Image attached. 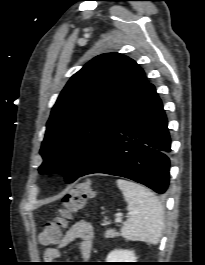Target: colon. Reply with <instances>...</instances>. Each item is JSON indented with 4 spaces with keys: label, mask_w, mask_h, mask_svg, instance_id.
Listing matches in <instances>:
<instances>
[{
    "label": "colon",
    "mask_w": 205,
    "mask_h": 265,
    "mask_svg": "<svg viewBox=\"0 0 205 265\" xmlns=\"http://www.w3.org/2000/svg\"><path fill=\"white\" fill-rule=\"evenodd\" d=\"M93 196V190L89 182L76 185L64 198L59 215L52 222L44 224L38 234V243L43 246L57 244L60 240L63 228L73 213L82 209L87 200Z\"/></svg>",
    "instance_id": "colon-1"
}]
</instances>
